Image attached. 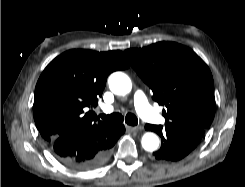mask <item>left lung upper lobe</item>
I'll return each instance as SVG.
<instances>
[{
    "instance_id": "obj_1",
    "label": "left lung upper lobe",
    "mask_w": 245,
    "mask_h": 187,
    "mask_svg": "<svg viewBox=\"0 0 245 187\" xmlns=\"http://www.w3.org/2000/svg\"><path fill=\"white\" fill-rule=\"evenodd\" d=\"M131 66L166 107L165 125L208 129L215 114L214 83L204 61L191 49L158 42L142 49H127Z\"/></svg>"
}]
</instances>
